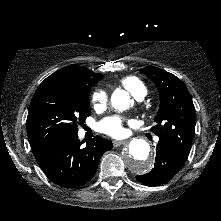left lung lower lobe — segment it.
<instances>
[{
  "mask_svg": "<svg viewBox=\"0 0 221 221\" xmlns=\"http://www.w3.org/2000/svg\"><path fill=\"white\" fill-rule=\"evenodd\" d=\"M155 161L154 168L148 174L136 176L140 183L156 186L170 180L180 170L186 159L182 158L168 144L158 141Z\"/></svg>",
  "mask_w": 221,
  "mask_h": 221,
  "instance_id": "0a47b994",
  "label": "left lung lower lobe"
}]
</instances>
